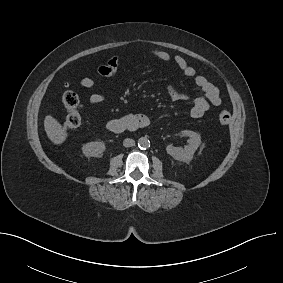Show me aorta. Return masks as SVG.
Here are the masks:
<instances>
[{"label":"aorta","mask_w":283,"mask_h":283,"mask_svg":"<svg viewBox=\"0 0 283 283\" xmlns=\"http://www.w3.org/2000/svg\"><path fill=\"white\" fill-rule=\"evenodd\" d=\"M138 147H139L140 149H147V148H149V147H150V141H149V139H148L146 136L140 137V138L138 139Z\"/></svg>","instance_id":"762f6f07"}]
</instances>
